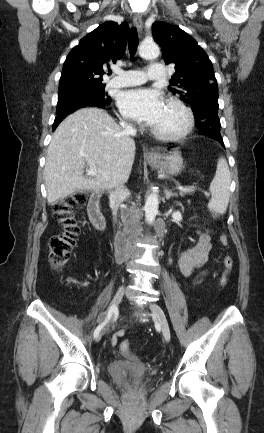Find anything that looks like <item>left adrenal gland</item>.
<instances>
[{
  "label": "left adrenal gland",
  "instance_id": "1",
  "mask_svg": "<svg viewBox=\"0 0 264 433\" xmlns=\"http://www.w3.org/2000/svg\"><path fill=\"white\" fill-rule=\"evenodd\" d=\"M164 194H165L166 200H169L171 197H177L178 196L177 193L172 192L171 190H169L167 188L164 190Z\"/></svg>",
  "mask_w": 264,
  "mask_h": 433
}]
</instances>
